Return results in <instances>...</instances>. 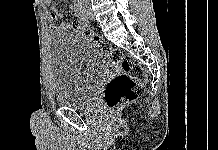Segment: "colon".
Returning <instances> with one entry per match:
<instances>
[{
	"label": "colon",
	"mask_w": 218,
	"mask_h": 150,
	"mask_svg": "<svg viewBox=\"0 0 218 150\" xmlns=\"http://www.w3.org/2000/svg\"><path fill=\"white\" fill-rule=\"evenodd\" d=\"M72 28L88 37L122 72L112 78L104 90V99L109 110H117L136 100L144 93L145 73L136 62L124 58L122 52L112 47L88 26L74 21Z\"/></svg>",
	"instance_id": "5ec220e1"
}]
</instances>
